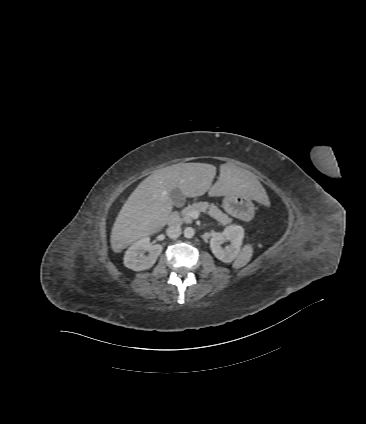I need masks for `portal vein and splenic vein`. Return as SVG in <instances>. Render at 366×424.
<instances>
[{"mask_svg":"<svg viewBox=\"0 0 366 424\" xmlns=\"http://www.w3.org/2000/svg\"><path fill=\"white\" fill-rule=\"evenodd\" d=\"M188 215L193 219H197L199 217V212L198 211H192V212L188 213Z\"/></svg>","mask_w":366,"mask_h":424,"instance_id":"obj_1","label":"portal vein and splenic vein"}]
</instances>
